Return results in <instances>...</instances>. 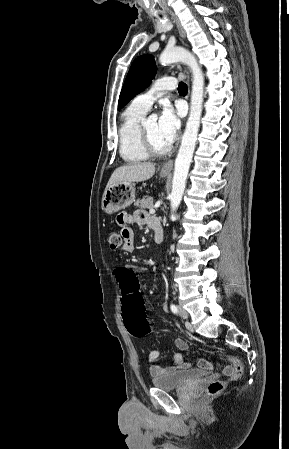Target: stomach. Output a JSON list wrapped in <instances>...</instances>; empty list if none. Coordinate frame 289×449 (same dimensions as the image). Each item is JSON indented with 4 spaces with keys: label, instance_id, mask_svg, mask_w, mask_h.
I'll return each mask as SVG.
<instances>
[{
    "label": "stomach",
    "instance_id": "obj_1",
    "mask_svg": "<svg viewBox=\"0 0 289 449\" xmlns=\"http://www.w3.org/2000/svg\"><path fill=\"white\" fill-rule=\"evenodd\" d=\"M160 176L166 177V173ZM135 201V186L133 182L121 181L106 188L102 197V209L107 214L118 212L129 207Z\"/></svg>",
    "mask_w": 289,
    "mask_h": 449
}]
</instances>
